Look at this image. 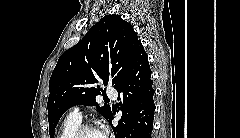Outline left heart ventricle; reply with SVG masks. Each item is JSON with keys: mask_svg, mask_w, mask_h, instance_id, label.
Here are the masks:
<instances>
[{"mask_svg": "<svg viewBox=\"0 0 240 138\" xmlns=\"http://www.w3.org/2000/svg\"><path fill=\"white\" fill-rule=\"evenodd\" d=\"M81 138H102V136L97 130H88L82 134Z\"/></svg>", "mask_w": 240, "mask_h": 138, "instance_id": "1", "label": "left heart ventricle"}]
</instances>
